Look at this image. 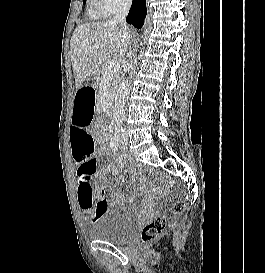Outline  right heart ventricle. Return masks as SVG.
<instances>
[{"instance_id":"obj_1","label":"right heart ventricle","mask_w":265,"mask_h":273,"mask_svg":"<svg viewBox=\"0 0 265 273\" xmlns=\"http://www.w3.org/2000/svg\"><path fill=\"white\" fill-rule=\"evenodd\" d=\"M89 13H90L91 17H93V18L106 17V15L104 13L100 12L92 5V2H91V7L89 10Z\"/></svg>"}]
</instances>
